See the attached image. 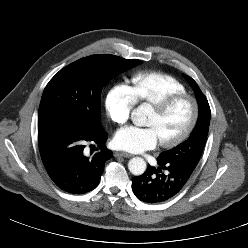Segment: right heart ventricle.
Instances as JSON below:
<instances>
[{"mask_svg": "<svg viewBox=\"0 0 248 248\" xmlns=\"http://www.w3.org/2000/svg\"><path fill=\"white\" fill-rule=\"evenodd\" d=\"M135 103L154 104L163 97L186 93L185 85L169 74L164 73H137L130 79L127 86Z\"/></svg>", "mask_w": 248, "mask_h": 248, "instance_id": "1", "label": "right heart ventricle"}]
</instances>
